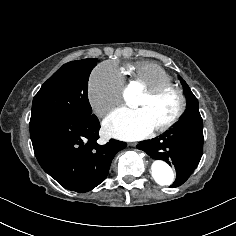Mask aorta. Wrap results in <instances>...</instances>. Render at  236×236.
<instances>
[{
	"instance_id": "762f6f07",
	"label": "aorta",
	"mask_w": 236,
	"mask_h": 236,
	"mask_svg": "<svg viewBox=\"0 0 236 236\" xmlns=\"http://www.w3.org/2000/svg\"><path fill=\"white\" fill-rule=\"evenodd\" d=\"M127 101L131 104L135 102V97L132 93H128ZM151 174L155 182L160 186H169L174 182V172L163 160L158 159L152 163Z\"/></svg>"
}]
</instances>
